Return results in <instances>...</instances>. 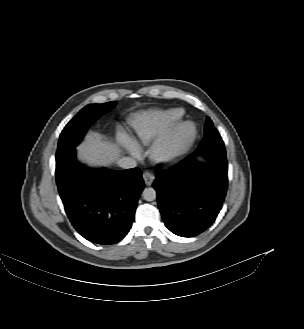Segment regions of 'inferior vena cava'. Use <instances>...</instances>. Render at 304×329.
Instances as JSON below:
<instances>
[{
    "mask_svg": "<svg viewBox=\"0 0 304 329\" xmlns=\"http://www.w3.org/2000/svg\"><path fill=\"white\" fill-rule=\"evenodd\" d=\"M118 166L123 169L135 168L137 166L136 160L130 157H122L117 162Z\"/></svg>",
    "mask_w": 304,
    "mask_h": 329,
    "instance_id": "602c4592",
    "label": "inferior vena cava"
}]
</instances>
